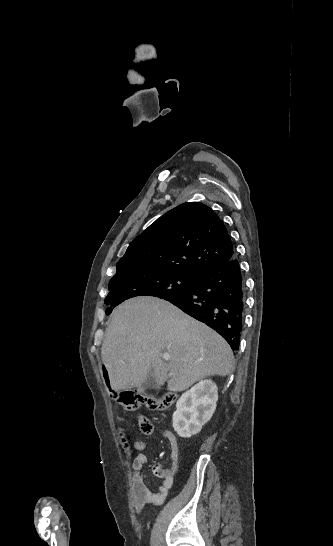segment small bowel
Segmentation results:
<instances>
[{
    "label": "small bowel",
    "mask_w": 333,
    "mask_h": 546,
    "mask_svg": "<svg viewBox=\"0 0 333 546\" xmlns=\"http://www.w3.org/2000/svg\"><path fill=\"white\" fill-rule=\"evenodd\" d=\"M163 435L169 440L171 446V462L168 468L163 469L159 466L155 468V473L163 479V484L160 485L157 491H151L144 483L141 475V471L144 465L148 462L150 456L148 454L141 453L132 461V469L134 472L132 486L133 501L137 513H140L148 504L160 505L165 501L168 495L167 486L172 483L173 477L178 471L180 454L176 437L168 430H164ZM133 446L138 451H143L146 447L142 440H135Z\"/></svg>",
    "instance_id": "c3829d8e"
}]
</instances>
